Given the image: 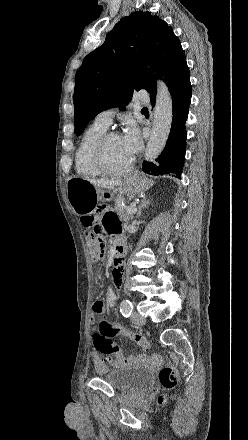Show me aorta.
Returning a JSON list of instances; mask_svg holds the SVG:
<instances>
[{"instance_id":"1","label":"aorta","mask_w":248,"mask_h":440,"mask_svg":"<svg viewBox=\"0 0 248 440\" xmlns=\"http://www.w3.org/2000/svg\"><path fill=\"white\" fill-rule=\"evenodd\" d=\"M173 118V102L163 81H158L153 126L145 151V159L154 161L163 151L170 134Z\"/></svg>"}]
</instances>
